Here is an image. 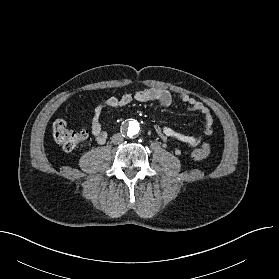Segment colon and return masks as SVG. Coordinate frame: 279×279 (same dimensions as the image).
<instances>
[{
  "label": "colon",
  "mask_w": 279,
  "mask_h": 279,
  "mask_svg": "<svg viewBox=\"0 0 279 279\" xmlns=\"http://www.w3.org/2000/svg\"><path fill=\"white\" fill-rule=\"evenodd\" d=\"M52 135L54 140L66 151L81 147L87 138L86 131L70 129L62 119L54 123ZM210 149V144L203 142L192 152L193 159L198 161L205 159L209 155Z\"/></svg>",
  "instance_id": "obj_1"
}]
</instances>
